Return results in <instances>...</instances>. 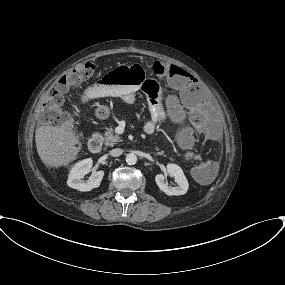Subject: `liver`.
<instances>
[{"label": "liver", "mask_w": 285, "mask_h": 285, "mask_svg": "<svg viewBox=\"0 0 285 285\" xmlns=\"http://www.w3.org/2000/svg\"><path fill=\"white\" fill-rule=\"evenodd\" d=\"M38 155L49 167L67 166L77 158L79 140L68 123L60 126L45 125L36 130Z\"/></svg>", "instance_id": "6515ba94"}]
</instances>
